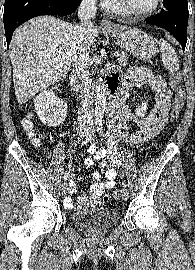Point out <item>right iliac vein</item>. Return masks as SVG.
Masks as SVG:
<instances>
[{
	"mask_svg": "<svg viewBox=\"0 0 195 270\" xmlns=\"http://www.w3.org/2000/svg\"><path fill=\"white\" fill-rule=\"evenodd\" d=\"M80 136H81V137H84L85 135H84V133H82ZM67 190H68L67 184L64 183V184L62 185V188H61L62 196H65V194L67 193Z\"/></svg>",
	"mask_w": 195,
	"mask_h": 270,
	"instance_id": "obj_1",
	"label": "right iliac vein"
}]
</instances>
